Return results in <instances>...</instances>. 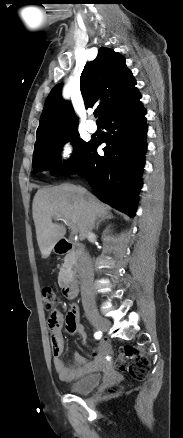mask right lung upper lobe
I'll list each match as a JSON object with an SVG mask.
<instances>
[{
	"instance_id": "right-lung-upper-lobe-1",
	"label": "right lung upper lobe",
	"mask_w": 183,
	"mask_h": 438,
	"mask_svg": "<svg viewBox=\"0 0 183 438\" xmlns=\"http://www.w3.org/2000/svg\"><path fill=\"white\" fill-rule=\"evenodd\" d=\"M136 81L125 65L122 55L101 47L95 60L84 67L80 77L81 93L86 107L99 103V121L105 115L137 95ZM61 84L48 95L36 139L77 129L78 119L73 108L61 97Z\"/></svg>"
}]
</instances>
